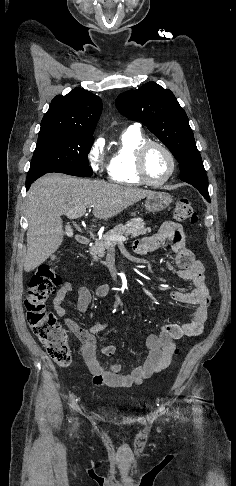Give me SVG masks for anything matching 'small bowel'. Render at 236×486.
I'll return each mask as SVG.
<instances>
[{
	"label": "small bowel",
	"mask_w": 236,
	"mask_h": 486,
	"mask_svg": "<svg viewBox=\"0 0 236 486\" xmlns=\"http://www.w3.org/2000/svg\"><path fill=\"white\" fill-rule=\"evenodd\" d=\"M167 242L176 253L174 267L166 262V267L182 279L191 283L190 291H174L171 297L174 301L193 305L195 310L192 317L182 323H169L161 327L159 333L151 334L146 339L148 354L144 361L130 373H125L118 363H104L97 354V335L109 330L110 325L103 321H94L88 329L82 328L75 321L67 317L63 302L72 291L69 282L63 283L53 299V309L62 318L64 324L78 338V351L83 357L91 375L93 383L97 386L112 388H127L140 385L154 373L168 367L175 349V341L184 336H198L202 333L208 317L210 297L204 280L203 264L194 258L192 252L185 246L184 232L179 223L165 221L156 233L143 237L134 242L133 249L137 254H146L163 247ZM111 286L103 284L95 289V295L106 296ZM92 300V292L88 286L78 290L77 309L81 313L88 311ZM115 352L113 345L101 350L104 357H110Z\"/></svg>",
	"instance_id": "obj_1"
}]
</instances>
